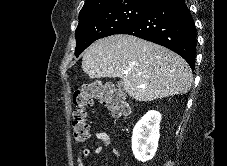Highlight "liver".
<instances>
[{
	"label": "liver",
	"instance_id": "obj_1",
	"mask_svg": "<svg viewBox=\"0 0 227 166\" xmlns=\"http://www.w3.org/2000/svg\"><path fill=\"white\" fill-rule=\"evenodd\" d=\"M82 69L90 78H121L127 94L153 101L187 93L193 74L173 51L131 35L116 34L95 41L83 54Z\"/></svg>",
	"mask_w": 227,
	"mask_h": 166
}]
</instances>
